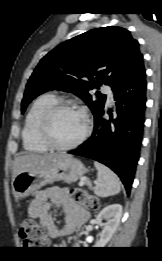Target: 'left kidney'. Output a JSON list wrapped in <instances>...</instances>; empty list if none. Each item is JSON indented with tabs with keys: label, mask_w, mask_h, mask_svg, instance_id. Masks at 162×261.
<instances>
[{
	"label": "left kidney",
	"mask_w": 162,
	"mask_h": 261,
	"mask_svg": "<svg viewBox=\"0 0 162 261\" xmlns=\"http://www.w3.org/2000/svg\"><path fill=\"white\" fill-rule=\"evenodd\" d=\"M122 216V206L120 204H112L106 206L96 217V220L100 226H102V231L99 234L100 238L95 243V247L102 248L111 240L113 234L115 233ZM106 220L102 223V220Z\"/></svg>",
	"instance_id": "1"
}]
</instances>
